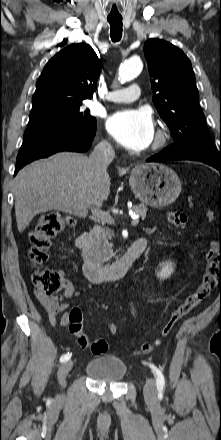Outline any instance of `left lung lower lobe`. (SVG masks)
I'll use <instances>...</instances> for the list:
<instances>
[{
    "label": "left lung lower lobe",
    "mask_w": 221,
    "mask_h": 440,
    "mask_svg": "<svg viewBox=\"0 0 221 440\" xmlns=\"http://www.w3.org/2000/svg\"><path fill=\"white\" fill-rule=\"evenodd\" d=\"M168 160H191V159L177 156L174 153H171V152L167 151L166 149H164L160 153L147 159V162H162V161H168ZM196 161H200V162L206 163L210 166H213L214 168L219 170L220 174H221V162H211V161H201V160H196Z\"/></svg>",
    "instance_id": "1"
}]
</instances>
